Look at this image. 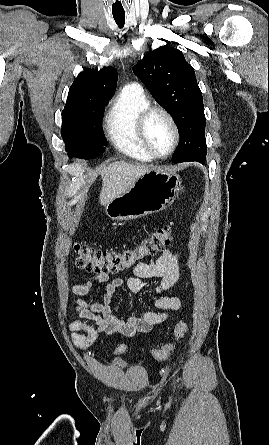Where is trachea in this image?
<instances>
[{
  "label": "trachea",
  "mask_w": 269,
  "mask_h": 445,
  "mask_svg": "<svg viewBox=\"0 0 269 445\" xmlns=\"http://www.w3.org/2000/svg\"><path fill=\"white\" fill-rule=\"evenodd\" d=\"M113 18L119 28H123L125 24V15H113Z\"/></svg>",
  "instance_id": "trachea-1"
}]
</instances>
